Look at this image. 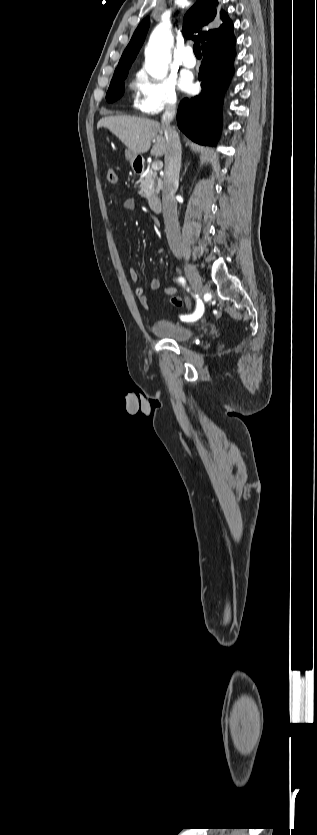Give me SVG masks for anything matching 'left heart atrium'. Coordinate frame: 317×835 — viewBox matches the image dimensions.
I'll return each instance as SVG.
<instances>
[{
  "mask_svg": "<svg viewBox=\"0 0 317 835\" xmlns=\"http://www.w3.org/2000/svg\"><path fill=\"white\" fill-rule=\"evenodd\" d=\"M181 88L186 91H191L194 88L192 78L189 75H184L181 78Z\"/></svg>",
  "mask_w": 317,
  "mask_h": 835,
  "instance_id": "1",
  "label": "left heart atrium"
}]
</instances>
